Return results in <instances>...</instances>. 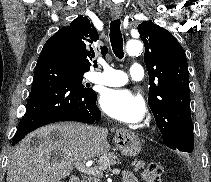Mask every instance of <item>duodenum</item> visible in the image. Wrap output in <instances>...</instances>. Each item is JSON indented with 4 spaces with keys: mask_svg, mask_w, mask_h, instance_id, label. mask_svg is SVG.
Listing matches in <instances>:
<instances>
[{
    "mask_svg": "<svg viewBox=\"0 0 211 182\" xmlns=\"http://www.w3.org/2000/svg\"><path fill=\"white\" fill-rule=\"evenodd\" d=\"M69 182H80V179L77 176H73L70 178Z\"/></svg>",
    "mask_w": 211,
    "mask_h": 182,
    "instance_id": "obj_1",
    "label": "duodenum"
}]
</instances>
